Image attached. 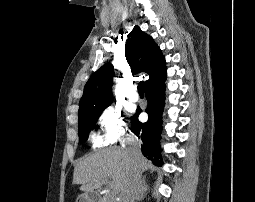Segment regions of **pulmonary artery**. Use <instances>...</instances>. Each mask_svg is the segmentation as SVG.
Returning <instances> with one entry per match:
<instances>
[{
    "mask_svg": "<svg viewBox=\"0 0 255 202\" xmlns=\"http://www.w3.org/2000/svg\"><path fill=\"white\" fill-rule=\"evenodd\" d=\"M127 98L131 102H137L139 99L138 93L136 92L135 88L130 90V92L127 95Z\"/></svg>",
    "mask_w": 255,
    "mask_h": 202,
    "instance_id": "e3ab8cb5",
    "label": "pulmonary artery"
}]
</instances>
